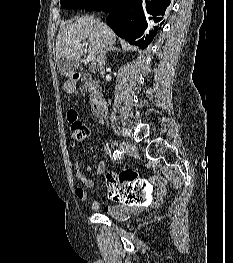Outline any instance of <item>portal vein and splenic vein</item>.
I'll return each mask as SVG.
<instances>
[{
    "instance_id": "portal-vein-and-splenic-vein-1",
    "label": "portal vein and splenic vein",
    "mask_w": 233,
    "mask_h": 263,
    "mask_svg": "<svg viewBox=\"0 0 233 263\" xmlns=\"http://www.w3.org/2000/svg\"><path fill=\"white\" fill-rule=\"evenodd\" d=\"M87 61H89V62H94V61H95V55L89 54V55L87 56Z\"/></svg>"
}]
</instances>
